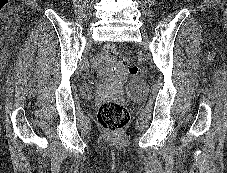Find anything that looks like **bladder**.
I'll return each mask as SVG.
<instances>
[{"instance_id": "obj_1", "label": "bladder", "mask_w": 227, "mask_h": 173, "mask_svg": "<svg viewBox=\"0 0 227 173\" xmlns=\"http://www.w3.org/2000/svg\"><path fill=\"white\" fill-rule=\"evenodd\" d=\"M143 92V86L141 82L137 80H131L127 86H126V93L129 97L136 99L139 98L142 95ZM90 90L88 88L84 89V95H89Z\"/></svg>"}]
</instances>
